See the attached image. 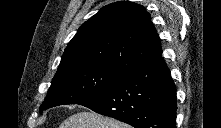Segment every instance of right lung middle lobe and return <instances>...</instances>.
Listing matches in <instances>:
<instances>
[{"label":"right lung middle lobe","instance_id":"obj_1","mask_svg":"<svg viewBox=\"0 0 221 128\" xmlns=\"http://www.w3.org/2000/svg\"><path fill=\"white\" fill-rule=\"evenodd\" d=\"M123 75L94 66H85L57 71L48 94L40 106V113L45 109L78 102L101 93Z\"/></svg>","mask_w":221,"mask_h":128}]
</instances>
